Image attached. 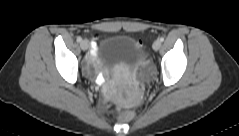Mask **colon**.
Here are the masks:
<instances>
[{"mask_svg":"<svg viewBox=\"0 0 239 136\" xmlns=\"http://www.w3.org/2000/svg\"><path fill=\"white\" fill-rule=\"evenodd\" d=\"M133 117L132 113H129L128 115L124 116V119H131Z\"/></svg>","mask_w":239,"mask_h":136,"instance_id":"1","label":"colon"}]
</instances>
